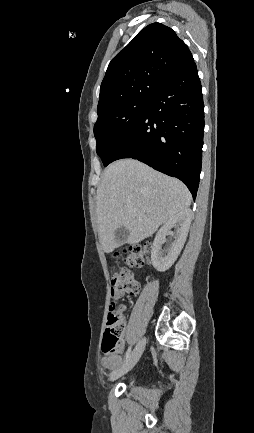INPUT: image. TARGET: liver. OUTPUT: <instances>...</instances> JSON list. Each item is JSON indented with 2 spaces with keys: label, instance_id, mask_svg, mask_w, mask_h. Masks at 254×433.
<instances>
[{
  "label": "liver",
  "instance_id": "liver-1",
  "mask_svg": "<svg viewBox=\"0 0 254 433\" xmlns=\"http://www.w3.org/2000/svg\"><path fill=\"white\" fill-rule=\"evenodd\" d=\"M190 204L191 194L181 181L134 159L111 163L104 170L96 196L104 252L111 253L124 243H139ZM122 226L128 229L129 236L120 244L115 240V231Z\"/></svg>",
  "mask_w": 254,
  "mask_h": 433
}]
</instances>
